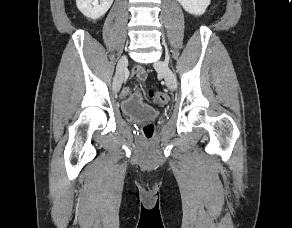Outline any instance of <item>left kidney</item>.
I'll use <instances>...</instances> for the list:
<instances>
[{
	"label": "left kidney",
	"instance_id": "left-kidney-1",
	"mask_svg": "<svg viewBox=\"0 0 292 228\" xmlns=\"http://www.w3.org/2000/svg\"><path fill=\"white\" fill-rule=\"evenodd\" d=\"M211 0H178L181 6L190 14L202 15Z\"/></svg>",
	"mask_w": 292,
	"mask_h": 228
}]
</instances>
